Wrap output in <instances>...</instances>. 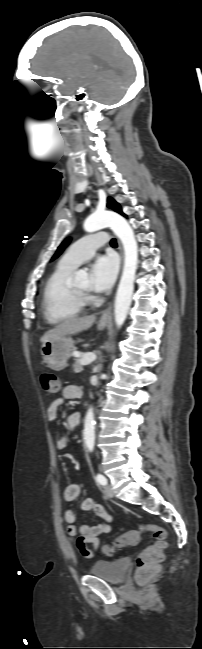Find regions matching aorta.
<instances>
[{
    "mask_svg": "<svg viewBox=\"0 0 202 649\" xmlns=\"http://www.w3.org/2000/svg\"><path fill=\"white\" fill-rule=\"evenodd\" d=\"M83 226L84 230L88 233L98 231L105 227H110L123 245L124 267L114 303V319L116 327L119 329L124 324L130 309L138 262V245L133 229L124 217L111 211L93 213L85 220ZM79 275H85V272L78 271L77 276ZM83 436L87 449L92 451L95 444V421L93 408H90L87 411L84 421Z\"/></svg>",
    "mask_w": 202,
    "mask_h": 649,
    "instance_id": "obj_1",
    "label": "aorta"
}]
</instances>
